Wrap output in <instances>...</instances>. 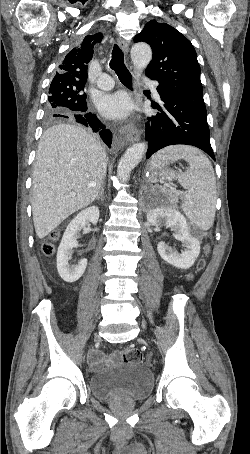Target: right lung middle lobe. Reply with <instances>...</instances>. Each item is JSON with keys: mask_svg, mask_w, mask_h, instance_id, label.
<instances>
[{"mask_svg": "<svg viewBox=\"0 0 250 454\" xmlns=\"http://www.w3.org/2000/svg\"><path fill=\"white\" fill-rule=\"evenodd\" d=\"M83 91L84 85L70 88L67 86H50L45 109L46 120H60L64 118L63 115L82 111L87 107L86 94Z\"/></svg>", "mask_w": 250, "mask_h": 454, "instance_id": "right-lung-middle-lobe-1", "label": "right lung middle lobe"}]
</instances>
